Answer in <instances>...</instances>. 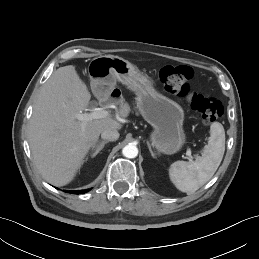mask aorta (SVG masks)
<instances>
[{"mask_svg":"<svg viewBox=\"0 0 259 259\" xmlns=\"http://www.w3.org/2000/svg\"><path fill=\"white\" fill-rule=\"evenodd\" d=\"M122 154L127 158H135L138 154V148L134 145H126L122 149Z\"/></svg>","mask_w":259,"mask_h":259,"instance_id":"1","label":"aorta"}]
</instances>
